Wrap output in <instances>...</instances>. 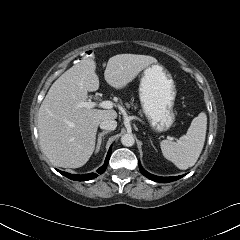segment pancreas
Returning <instances> with one entry per match:
<instances>
[{
	"mask_svg": "<svg viewBox=\"0 0 240 240\" xmlns=\"http://www.w3.org/2000/svg\"><path fill=\"white\" fill-rule=\"evenodd\" d=\"M131 106H133V103H130V104H129V103H126V107H127V108H130ZM134 108L136 109V106H134Z\"/></svg>",
	"mask_w": 240,
	"mask_h": 240,
	"instance_id": "cf45deb5",
	"label": "pancreas"
}]
</instances>
